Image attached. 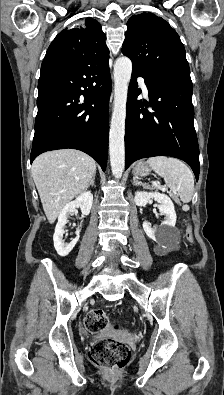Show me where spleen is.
<instances>
[{
    "label": "spleen",
    "instance_id": "obj_1",
    "mask_svg": "<svg viewBox=\"0 0 224 395\" xmlns=\"http://www.w3.org/2000/svg\"><path fill=\"white\" fill-rule=\"evenodd\" d=\"M147 164L164 178L171 190L177 191L183 203L191 201L194 192V176L185 163L179 159L157 156L149 158Z\"/></svg>",
    "mask_w": 224,
    "mask_h": 395
}]
</instances>
